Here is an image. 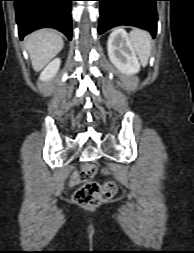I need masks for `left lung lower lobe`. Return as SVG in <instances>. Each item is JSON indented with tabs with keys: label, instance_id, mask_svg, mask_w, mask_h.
<instances>
[{
	"label": "left lung lower lobe",
	"instance_id": "obj_1",
	"mask_svg": "<svg viewBox=\"0 0 194 253\" xmlns=\"http://www.w3.org/2000/svg\"><path fill=\"white\" fill-rule=\"evenodd\" d=\"M100 19L98 33L112 27L129 25L145 29L154 37L157 31L156 2L161 0H98Z\"/></svg>",
	"mask_w": 194,
	"mask_h": 253
}]
</instances>
